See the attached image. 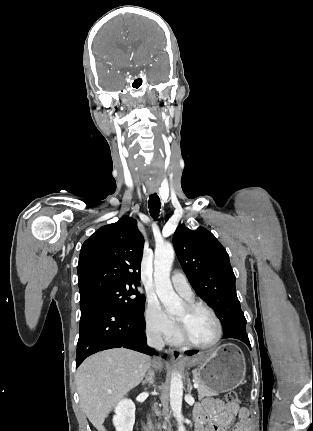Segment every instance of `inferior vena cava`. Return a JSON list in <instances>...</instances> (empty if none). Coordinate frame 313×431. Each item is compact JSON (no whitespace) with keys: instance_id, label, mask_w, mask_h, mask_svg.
<instances>
[{"instance_id":"obj_1","label":"inferior vena cava","mask_w":313,"mask_h":431,"mask_svg":"<svg viewBox=\"0 0 313 431\" xmlns=\"http://www.w3.org/2000/svg\"><path fill=\"white\" fill-rule=\"evenodd\" d=\"M146 335H147V344L150 347L155 348L157 350H162L164 348L165 344L158 330L148 328L146 331Z\"/></svg>"}]
</instances>
